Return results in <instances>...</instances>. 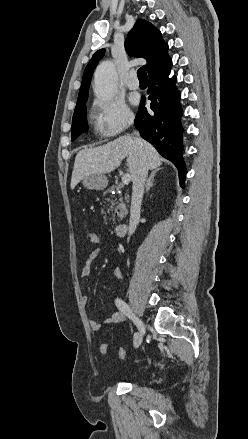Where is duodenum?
I'll use <instances>...</instances> for the list:
<instances>
[{
  "instance_id": "1",
  "label": "duodenum",
  "mask_w": 248,
  "mask_h": 439,
  "mask_svg": "<svg viewBox=\"0 0 248 439\" xmlns=\"http://www.w3.org/2000/svg\"><path fill=\"white\" fill-rule=\"evenodd\" d=\"M127 224L125 222H120L115 226V233L118 236H121L123 234H125V232L127 231Z\"/></svg>"
}]
</instances>
